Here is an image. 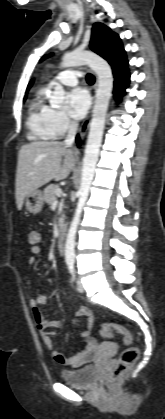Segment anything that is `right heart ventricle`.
I'll use <instances>...</instances> for the list:
<instances>
[{
  "instance_id": "obj_1",
  "label": "right heart ventricle",
  "mask_w": 165,
  "mask_h": 419,
  "mask_svg": "<svg viewBox=\"0 0 165 419\" xmlns=\"http://www.w3.org/2000/svg\"><path fill=\"white\" fill-rule=\"evenodd\" d=\"M53 109L45 101V89L33 95L26 120L28 136L32 140H52L57 137L52 124Z\"/></svg>"
}]
</instances>
